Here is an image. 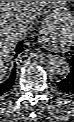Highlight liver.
I'll return each instance as SVG.
<instances>
[{
	"label": "liver",
	"instance_id": "1",
	"mask_svg": "<svg viewBox=\"0 0 74 122\" xmlns=\"http://www.w3.org/2000/svg\"><path fill=\"white\" fill-rule=\"evenodd\" d=\"M64 4V1H0V73L3 77L9 66L17 43L26 36L34 22L41 15L42 9ZM31 25L25 31L21 26L27 22Z\"/></svg>",
	"mask_w": 74,
	"mask_h": 122
}]
</instances>
